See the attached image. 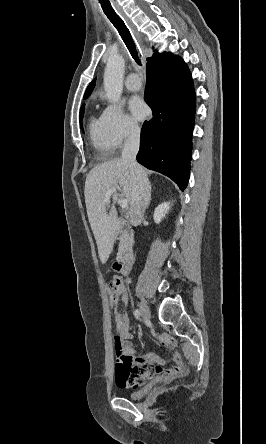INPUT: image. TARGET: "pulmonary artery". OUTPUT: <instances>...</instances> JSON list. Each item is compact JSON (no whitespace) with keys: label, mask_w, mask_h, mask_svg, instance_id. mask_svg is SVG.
I'll return each mask as SVG.
<instances>
[{"label":"pulmonary artery","mask_w":266,"mask_h":444,"mask_svg":"<svg viewBox=\"0 0 266 444\" xmlns=\"http://www.w3.org/2000/svg\"><path fill=\"white\" fill-rule=\"evenodd\" d=\"M125 85L131 91H138L142 87V82L138 74L131 73L127 76Z\"/></svg>","instance_id":"obj_1"}]
</instances>
